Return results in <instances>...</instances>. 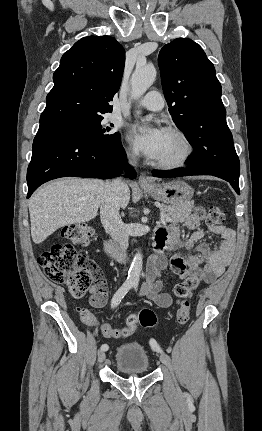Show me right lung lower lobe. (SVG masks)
<instances>
[{
  "mask_svg": "<svg viewBox=\"0 0 262 431\" xmlns=\"http://www.w3.org/2000/svg\"><path fill=\"white\" fill-rule=\"evenodd\" d=\"M125 165L126 154L120 140L107 144L64 130L40 127L27 170V198L52 179L65 176L108 179L118 176ZM126 176L136 177L131 166L126 167Z\"/></svg>",
  "mask_w": 262,
  "mask_h": 431,
  "instance_id": "1",
  "label": "right lung lower lobe"
}]
</instances>
